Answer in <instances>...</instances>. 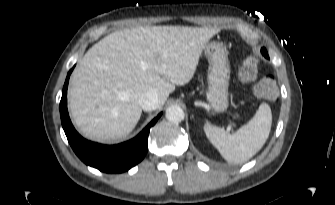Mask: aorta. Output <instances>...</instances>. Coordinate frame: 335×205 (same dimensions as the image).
<instances>
[{"mask_svg": "<svg viewBox=\"0 0 335 205\" xmlns=\"http://www.w3.org/2000/svg\"><path fill=\"white\" fill-rule=\"evenodd\" d=\"M184 111L180 106L172 105L166 110V119L172 123H180L184 120Z\"/></svg>", "mask_w": 335, "mask_h": 205, "instance_id": "aorta-1", "label": "aorta"}]
</instances>
